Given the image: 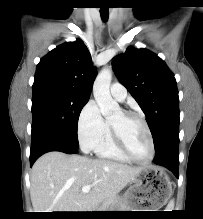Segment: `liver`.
Returning <instances> with one entry per match:
<instances>
[{
	"label": "liver",
	"mask_w": 203,
	"mask_h": 219,
	"mask_svg": "<svg viewBox=\"0 0 203 219\" xmlns=\"http://www.w3.org/2000/svg\"><path fill=\"white\" fill-rule=\"evenodd\" d=\"M142 167L49 152L34 163L30 196L35 212H90L114 198ZM84 185H92L88 193Z\"/></svg>",
	"instance_id": "liver-1"
}]
</instances>
